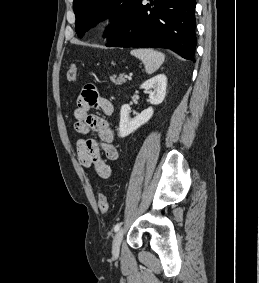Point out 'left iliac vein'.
I'll return each mask as SVG.
<instances>
[{
	"label": "left iliac vein",
	"mask_w": 259,
	"mask_h": 283,
	"mask_svg": "<svg viewBox=\"0 0 259 283\" xmlns=\"http://www.w3.org/2000/svg\"><path fill=\"white\" fill-rule=\"evenodd\" d=\"M122 238H123V229H120V230L117 231V233H116V235L114 236V239H113V244H112L113 255L119 254Z\"/></svg>",
	"instance_id": "obj_1"
}]
</instances>
